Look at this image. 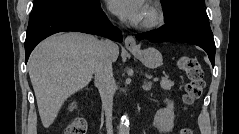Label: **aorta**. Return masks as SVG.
<instances>
[{
	"label": "aorta",
	"mask_w": 239,
	"mask_h": 134,
	"mask_svg": "<svg viewBox=\"0 0 239 134\" xmlns=\"http://www.w3.org/2000/svg\"><path fill=\"white\" fill-rule=\"evenodd\" d=\"M119 134H129L130 132V122L128 114L122 116L119 127H118Z\"/></svg>",
	"instance_id": "762f6f07"
}]
</instances>
